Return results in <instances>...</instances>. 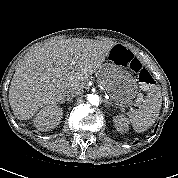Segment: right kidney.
<instances>
[{
  "label": "right kidney",
  "instance_id": "1",
  "mask_svg": "<svg viewBox=\"0 0 178 178\" xmlns=\"http://www.w3.org/2000/svg\"><path fill=\"white\" fill-rule=\"evenodd\" d=\"M62 114V108L57 105L43 107L33 119L34 126L40 131L54 129L60 123Z\"/></svg>",
  "mask_w": 178,
  "mask_h": 178
}]
</instances>
